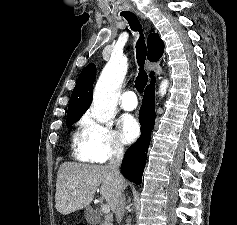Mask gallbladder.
<instances>
[{
    "label": "gallbladder",
    "instance_id": "bac80fb5",
    "mask_svg": "<svg viewBox=\"0 0 237 225\" xmlns=\"http://www.w3.org/2000/svg\"><path fill=\"white\" fill-rule=\"evenodd\" d=\"M97 223H98V219L97 218L92 221V224H97Z\"/></svg>",
    "mask_w": 237,
    "mask_h": 225
}]
</instances>
